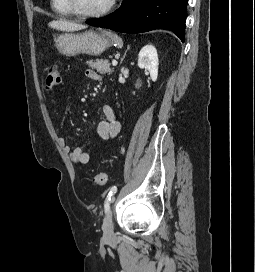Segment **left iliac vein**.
<instances>
[{
    "instance_id": "obj_1",
    "label": "left iliac vein",
    "mask_w": 255,
    "mask_h": 272,
    "mask_svg": "<svg viewBox=\"0 0 255 272\" xmlns=\"http://www.w3.org/2000/svg\"><path fill=\"white\" fill-rule=\"evenodd\" d=\"M114 199L115 198L113 197L112 202L114 201ZM102 229H103L104 237L110 238L113 236L114 227H113V221H112V214L110 210L108 211L107 215L104 218Z\"/></svg>"
}]
</instances>
